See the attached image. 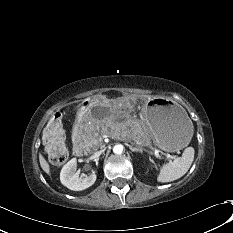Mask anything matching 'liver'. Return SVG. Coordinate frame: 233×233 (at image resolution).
<instances>
[{
    "label": "liver",
    "mask_w": 233,
    "mask_h": 233,
    "mask_svg": "<svg viewBox=\"0 0 233 233\" xmlns=\"http://www.w3.org/2000/svg\"><path fill=\"white\" fill-rule=\"evenodd\" d=\"M39 162H40V166L44 170V172L49 174L50 166H49L48 162L45 160V158L43 157L42 154L39 155Z\"/></svg>",
    "instance_id": "6515ba94"
}]
</instances>
